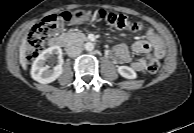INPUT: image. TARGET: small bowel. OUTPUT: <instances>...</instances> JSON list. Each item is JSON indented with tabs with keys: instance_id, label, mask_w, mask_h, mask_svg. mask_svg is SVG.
Instances as JSON below:
<instances>
[{
	"instance_id": "1",
	"label": "small bowel",
	"mask_w": 194,
	"mask_h": 133,
	"mask_svg": "<svg viewBox=\"0 0 194 133\" xmlns=\"http://www.w3.org/2000/svg\"><path fill=\"white\" fill-rule=\"evenodd\" d=\"M132 32H139L143 26L139 23L131 24ZM131 52L143 55L142 58L133 61ZM165 54L164 43L157 32L148 27L145 29V40H138L128 47L126 44H118L111 51V58L121 64H128L134 71H144L152 61L161 59Z\"/></svg>"
}]
</instances>
